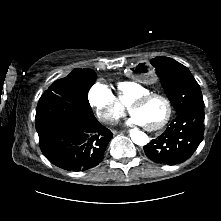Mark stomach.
Masks as SVG:
<instances>
[{"label": "stomach", "mask_w": 221, "mask_h": 221, "mask_svg": "<svg viewBox=\"0 0 221 221\" xmlns=\"http://www.w3.org/2000/svg\"><path fill=\"white\" fill-rule=\"evenodd\" d=\"M131 77L143 84H151L157 78L156 69L148 62H136L130 68Z\"/></svg>", "instance_id": "obj_1"}]
</instances>
